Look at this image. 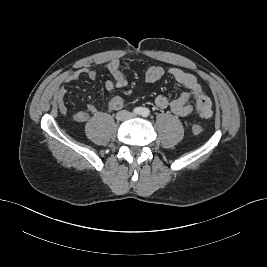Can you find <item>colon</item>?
Segmentation results:
<instances>
[{"mask_svg": "<svg viewBox=\"0 0 267 267\" xmlns=\"http://www.w3.org/2000/svg\"><path fill=\"white\" fill-rule=\"evenodd\" d=\"M192 130L195 134H199L203 131V127L200 124H194Z\"/></svg>", "mask_w": 267, "mask_h": 267, "instance_id": "obj_1", "label": "colon"}]
</instances>
